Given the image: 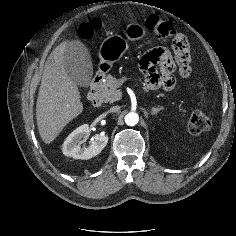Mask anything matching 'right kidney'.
Instances as JSON below:
<instances>
[{"label": "right kidney", "mask_w": 236, "mask_h": 236, "mask_svg": "<svg viewBox=\"0 0 236 236\" xmlns=\"http://www.w3.org/2000/svg\"><path fill=\"white\" fill-rule=\"evenodd\" d=\"M90 129L84 124L75 129L64 141L63 154L74 159L88 160L98 155L107 145L108 137L104 134H96L92 137L88 147H81V140L89 135Z\"/></svg>", "instance_id": "obj_1"}]
</instances>
